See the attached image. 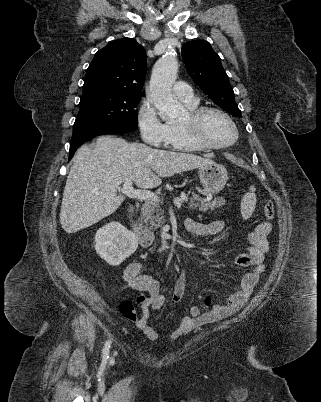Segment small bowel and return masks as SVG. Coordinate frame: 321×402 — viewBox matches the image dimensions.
Masks as SVG:
<instances>
[{"label":"small bowel","mask_w":321,"mask_h":402,"mask_svg":"<svg viewBox=\"0 0 321 402\" xmlns=\"http://www.w3.org/2000/svg\"><path fill=\"white\" fill-rule=\"evenodd\" d=\"M186 230L195 236L205 237L220 234L224 230L221 221L201 223L192 219L184 221ZM271 231L268 222H261L249 234L250 246L246 253L236 256L235 262L238 266L250 268L243 276L239 288L233 292L225 303H211L206 297L204 304L208 308L202 312L197 306L189 309V315L183 316L177 329L170 335L171 340L187 334L198 326L220 321L245 305L260 276L265 271L264 257L269 250L267 236ZM123 288L144 291L148 298L141 305V315L138 319L137 328L151 341L159 338L156 330L149 323L151 311L159 310L165 303V296L160 291L159 283L152 277L141 274V264L132 262L128 264L123 274ZM185 294L184 274L180 273L174 287L172 304H178Z\"/></svg>","instance_id":"1"}]
</instances>
